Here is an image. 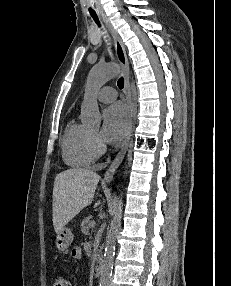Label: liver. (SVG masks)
<instances>
[{
  "label": "liver",
  "mask_w": 231,
  "mask_h": 286,
  "mask_svg": "<svg viewBox=\"0 0 231 286\" xmlns=\"http://www.w3.org/2000/svg\"><path fill=\"white\" fill-rule=\"evenodd\" d=\"M100 176L90 169L73 168L59 173L54 181L52 221L60 232L81 210L93 201ZM100 201L95 203V207Z\"/></svg>",
  "instance_id": "obj_1"
}]
</instances>
